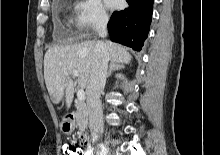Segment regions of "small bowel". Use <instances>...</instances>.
Returning <instances> with one entry per match:
<instances>
[{"mask_svg":"<svg viewBox=\"0 0 220 155\" xmlns=\"http://www.w3.org/2000/svg\"><path fill=\"white\" fill-rule=\"evenodd\" d=\"M77 145H86V137L85 136H78L77 137Z\"/></svg>","mask_w":220,"mask_h":155,"instance_id":"c3829d8e","label":"small bowel"}]
</instances>
